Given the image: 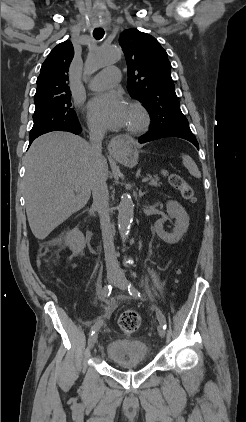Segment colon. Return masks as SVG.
Masks as SVG:
<instances>
[{"label": "colon", "instance_id": "obj_1", "mask_svg": "<svg viewBox=\"0 0 246 422\" xmlns=\"http://www.w3.org/2000/svg\"><path fill=\"white\" fill-rule=\"evenodd\" d=\"M168 179L170 184L181 193L184 199L193 200V188L183 177L178 174H169ZM118 325L123 332L128 334L134 333L140 328L141 317L133 310L124 311L118 319Z\"/></svg>", "mask_w": 246, "mask_h": 422}]
</instances>
